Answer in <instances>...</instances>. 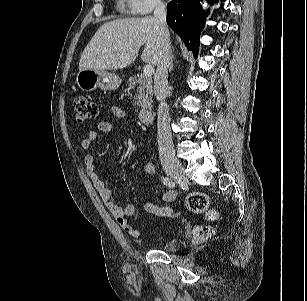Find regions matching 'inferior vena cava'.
<instances>
[{"label":"inferior vena cava","instance_id":"inferior-vena-cava-1","mask_svg":"<svg viewBox=\"0 0 307 301\" xmlns=\"http://www.w3.org/2000/svg\"><path fill=\"white\" fill-rule=\"evenodd\" d=\"M154 17L158 20L161 29V52L154 76V94L160 102L157 111V139L159 155L163 157L175 153L170 130L169 107L165 102L169 94L168 69L173 55L170 48V35L166 26V6L163 3L156 4Z\"/></svg>","mask_w":307,"mask_h":301}]
</instances>
